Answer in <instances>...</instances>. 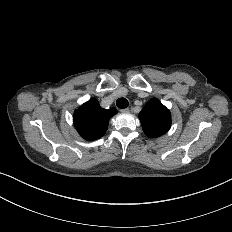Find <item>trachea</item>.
I'll return each instance as SVG.
<instances>
[{
    "label": "trachea",
    "mask_w": 232,
    "mask_h": 232,
    "mask_svg": "<svg viewBox=\"0 0 232 232\" xmlns=\"http://www.w3.org/2000/svg\"><path fill=\"white\" fill-rule=\"evenodd\" d=\"M128 100L126 98H119L117 101H116V105L118 108H121V109H124L126 107H128Z\"/></svg>",
    "instance_id": "trachea-1"
}]
</instances>
